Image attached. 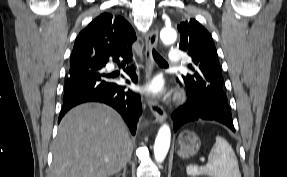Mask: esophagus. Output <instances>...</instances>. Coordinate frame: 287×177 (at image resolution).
<instances>
[{"mask_svg": "<svg viewBox=\"0 0 287 177\" xmlns=\"http://www.w3.org/2000/svg\"><path fill=\"white\" fill-rule=\"evenodd\" d=\"M146 40V47H145V62H146V78L149 81L152 73V69L154 66L153 56H152V49L157 46L158 43V29L150 30L145 37ZM149 108L152 114L155 117V122L162 123L165 118L166 114L161 105H159L156 101L149 100L148 101Z\"/></svg>", "mask_w": 287, "mask_h": 177, "instance_id": "esophagus-1", "label": "esophagus"}]
</instances>
